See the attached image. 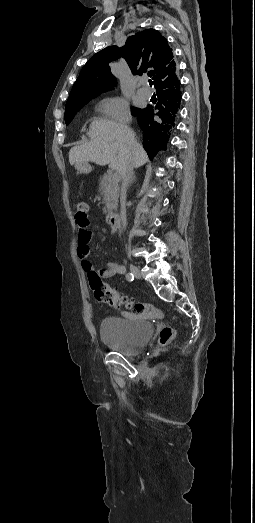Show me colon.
Masks as SVG:
<instances>
[{
    "label": "colon",
    "instance_id": "5ec220e1",
    "mask_svg": "<svg viewBox=\"0 0 255 523\" xmlns=\"http://www.w3.org/2000/svg\"><path fill=\"white\" fill-rule=\"evenodd\" d=\"M88 210L89 204L87 202H77L75 218L79 226L88 225ZM88 279L95 298L100 302L117 308H125L139 315H149L155 318H161L163 316V312L157 307L141 301L130 300L116 290L109 288L103 283L97 272L88 273ZM174 338L175 330L168 326L163 327L159 332L158 347L166 346L173 341Z\"/></svg>",
    "mask_w": 255,
    "mask_h": 523
}]
</instances>
